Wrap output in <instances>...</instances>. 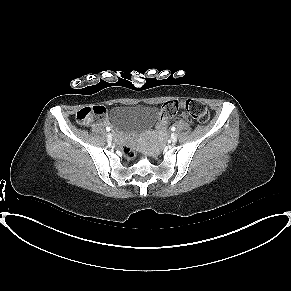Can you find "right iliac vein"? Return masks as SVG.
Masks as SVG:
<instances>
[{
    "label": "right iliac vein",
    "mask_w": 291,
    "mask_h": 291,
    "mask_svg": "<svg viewBox=\"0 0 291 291\" xmlns=\"http://www.w3.org/2000/svg\"><path fill=\"white\" fill-rule=\"evenodd\" d=\"M107 141H108V142H111V141H112L111 134H108V135H107Z\"/></svg>",
    "instance_id": "obj_1"
}]
</instances>
